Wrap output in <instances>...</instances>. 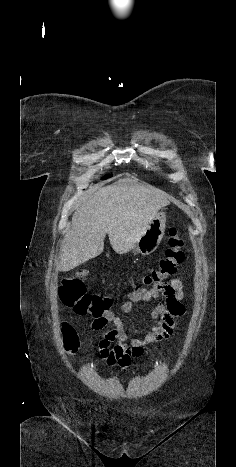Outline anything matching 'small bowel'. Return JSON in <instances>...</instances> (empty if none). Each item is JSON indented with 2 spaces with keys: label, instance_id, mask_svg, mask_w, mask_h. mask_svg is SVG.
I'll return each mask as SVG.
<instances>
[{
  "label": "small bowel",
  "instance_id": "c3829d8e",
  "mask_svg": "<svg viewBox=\"0 0 236 467\" xmlns=\"http://www.w3.org/2000/svg\"><path fill=\"white\" fill-rule=\"evenodd\" d=\"M160 296L164 297L165 302L157 303L153 307L151 316L156 322L143 337H129L124 322L112 311L92 321L91 328L95 331L103 330L108 323L113 325V329L106 332L99 343V354L109 366L118 365L125 370L134 359L142 357L149 346L169 339L174 334L177 319L185 314L182 304L183 283L179 278H173L160 287L149 290L136 289L130 292L121 309L124 313H130L135 303L154 300ZM113 342L117 344L111 347Z\"/></svg>",
  "mask_w": 236,
  "mask_h": 467
}]
</instances>
